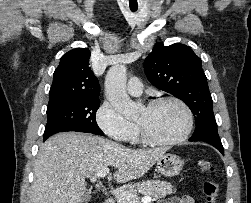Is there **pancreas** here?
<instances>
[{"instance_id": "pancreas-1", "label": "pancreas", "mask_w": 251, "mask_h": 203, "mask_svg": "<svg viewBox=\"0 0 251 203\" xmlns=\"http://www.w3.org/2000/svg\"><path fill=\"white\" fill-rule=\"evenodd\" d=\"M141 192L149 195L153 200L164 198L165 196L173 193V186L171 183L160 180H147L145 182L136 183L132 187L124 190L123 193L134 195L137 197ZM116 203H129L125 196L116 197Z\"/></svg>"}]
</instances>
